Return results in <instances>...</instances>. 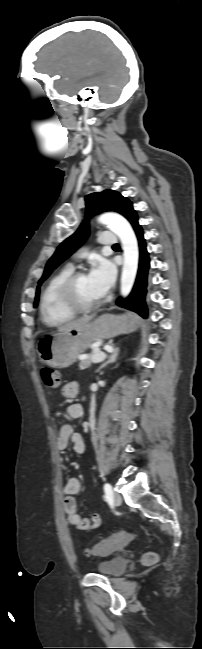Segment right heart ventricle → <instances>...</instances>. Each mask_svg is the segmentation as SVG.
Returning <instances> with one entry per match:
<instances>
[{
    "instance_id": "right-heart-ventricle-1",
    "label": "right heart ventricle",
    "mask_w": 202,
    "mask_h": 649,
    "mask_svg": "<svg viewBox=\"0 0 202 649\" xmlns=\"http://www.w3.org/2000/svg\"><path fill=\"white\" fill-rule=\"evenodd\" d=\"M72 272L71 266L63 267L50 278L44 287L41 295L40 311L43 321L49 326H58L72 320L76 315L64 304L60 295L63 282Z\"/></svg>"
}]
</instances>
